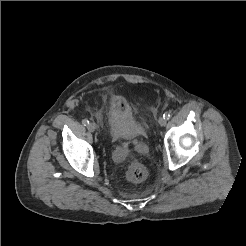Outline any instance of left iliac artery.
<instances>
[{
  "mask_svg": "<svg viewBox=\"0 0 246 246\" xmlns=\"http://www.w3.org/2000/svg\"><path fill=\"white\" fill-rule=\"evenodd\" d=\"M163 117L168 120L171 117V114L169 112H165Z\"/></svg>",
  "mask_w": 246,
  "mask_h": 246,
  "instance_id": "1",
  "label": "left iliac artery"
}]
</instances>
